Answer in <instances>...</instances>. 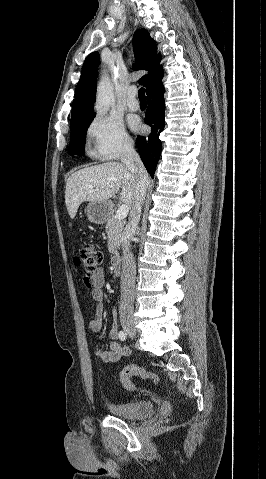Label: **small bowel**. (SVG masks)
<instances>
[{
	"mask_svg": "<svg viewBox=\"0 0 266 479\" xmlns=\"http://www.w3.org/2000/svg\"><path fill=\"white\" fill-rule=\"evenodd\" d=\"M92 285L91 295L94 301L97 302L96 311L94 316L89 321V329L93 333H99L103 328V315L104 307L102 304L104 298L103 286L105 284L106 278L104 270L101 268L96 269L89 277ZM117 311H113V324L110 330V336L114 339L110 344L109 351H106L102 348H97L96 358L102 363L117 362L123 356H127L130 353V349L127 346H124L116 341L118 337V326L116 322Z\"/></svg>",
	"mask_w": 266,
	"mask_h": 479,
	"instance_id": "obj_1",
	"label": "small bowel"
}]
</instances>
